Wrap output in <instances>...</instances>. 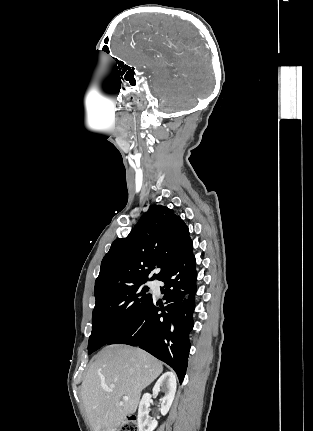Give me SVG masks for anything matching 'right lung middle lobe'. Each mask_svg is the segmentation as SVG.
<instances>
[{
  "instance_id": "1",
  "label": "right lung middle lobe",
  "mask_w": 313,
  "mask_h": 431,
  "mask_svg": "<svg viewBox=\"0 0 313 431\" xmlns=\"http://www.w3.org/2000/svg\"><path fill=\"white\" fill-rule=\"evenodd\" d=\"M146 285H139L96 301L92 314L89 354L124 331L153 300Z\"/></svg>"
}]
</instances>
